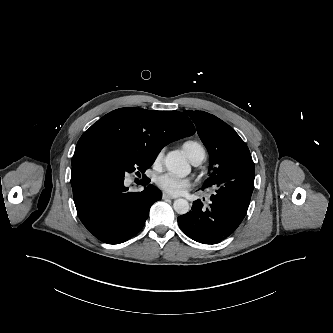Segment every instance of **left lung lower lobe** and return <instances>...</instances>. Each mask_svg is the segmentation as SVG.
<instances>
[{"label":"left lung lower lobe","instance_id":"1","mask_svg":"<svg viewBox=\"0 0 333 333\" xmlns=\"http://www.w3.org/2000/svg\"><path fill=\"white\" fill-rule=\"evenodd\" d=\"M234 168L236 174L233 172ZM254 178L251 156L229 164L215 178L217 190L210 198V205L205 208L198 199L188 213L177 218L181 230L203 244H217L230 236L247 213Z\"/></svg>","mask_w":333,"mask_h":333}]
</instances>
